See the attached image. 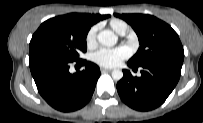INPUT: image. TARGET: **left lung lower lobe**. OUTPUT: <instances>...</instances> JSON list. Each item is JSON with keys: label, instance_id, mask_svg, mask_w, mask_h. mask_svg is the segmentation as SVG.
Listing matches in <instances>:
<instances>
[{"label": "left lung lower lobe", "instance_id": "1", "mask_svg": "<svg viewBox=\"0 0 203 123\" xmlns=\"http://www.w3.org/2000/svg\"><path fill=\"white\" fill-rule=\"evenodd\" d=\"M134 70L136 66L128 63ZM141 77H133L123 70L117 83L120 98L129 107L149 111L159 107L175 88L181 75V62H152L141 66Z\"/></svg>", "mask_w": 203, "mask_h": 123}]
</instances>
